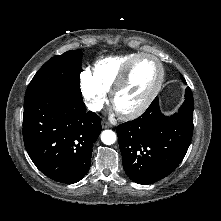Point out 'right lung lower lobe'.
Segmentation results:
<instances>
[{
    "mask_svg": "<svg viewBox=\"0 0 221 221\" xmlns=\"http://www.w3.org/2000/svg\"><path fill=\"white\" fill-rule=\"evenodd\" d=\"M101 118L83 100L51 92L24 104L23 139L36 167L57 182L72 184L89 171Z\"/></svg>",
    "mask_w": 221,
    "mask_h": 221,
    "instance_id": "right-lung-lower-lobe-1",
    "label": "right lung lower lobe"
}]
</instances>
